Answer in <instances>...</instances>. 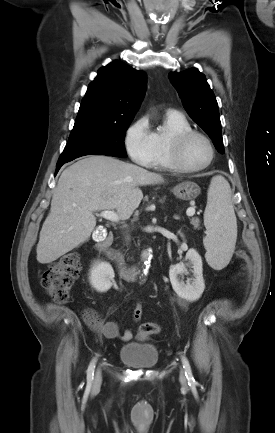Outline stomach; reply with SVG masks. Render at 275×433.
<instances>
[{
  "instance_id": "0dacf381",
  "label": "stomach",
  "mask_w": 275,
  "mask_h": 433,
  "mask_svg": "<svg viewBox=\"0 0 275 433\" xmlns=\"http://www.w3.org/2000/svg\"><path fill=\"white\" fill-rule=\"evenodd\" d=\"M200 191V187L191 181L182 182L175 186L172 190L173 194L181 200H193L197 198V196L200 194Z\"/></svg>"
}]
</instances>
